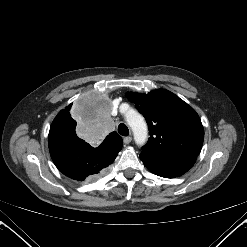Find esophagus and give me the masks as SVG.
Here are the masks:
<instances>
[{
    "instance_id": "34e87169",
    "label": "esophagus",
    "mask_w": 247,
    "mask_h": 247,
    "mask_svg": "<svg viewBox=\"0 0 247 247\" xmlns=\"http://www.w3.org/2000/svg\"><path fill=\"white\" fill-rule=\"evenodd\" d=\"M131 141H132V137H130V136L123 138L124 144H129Z\"/></svg>"
}]
</instances>
